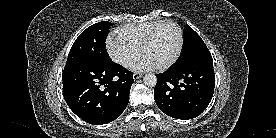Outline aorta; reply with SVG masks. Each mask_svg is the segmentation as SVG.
<instances>
[{"mask_svg":"<svg viewBox=\"0 0 276 138\" xmlns=\"http://www.w3.org/2000/svg\"><path fill=\"white\" fill-rule=\"evenodd\" d=\"M144 84L148 87H154L157 83V77L154 74H146L143 78Z\"/></svg>","mask_w":276,"mask_h":138,"instance_id":"obj_1","label":"aorta"}]
</instances>
